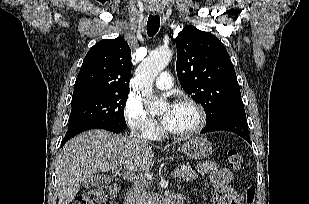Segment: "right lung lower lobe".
Instances as JSON below:
<instances>
[{
  "mask_svg": "<svg viewBox=\"0 0 309 204\" xmlns=\"http://www.w3.org/2000/svg\"><path fill=\"white\" fill-rule=\"evenodd\" d=\"M90 129H105L114 133H119L121 132V130H117V129H113L110 127H106V126H102V125H98V124H85V125H81L72 129H69L62 141L61 146H63L69 139H71L72 137H74L75 135L86 131V130H90Z\"/></svg>",
  "mask_w": 309,
  "mask_h": 204,
  "instance_id": "1",
  "label": "right lung lower lobe"
}]
</instances>
